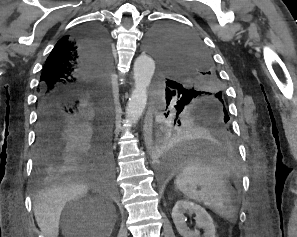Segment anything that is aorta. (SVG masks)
<instances>
[{"label":"aorta","instance_id":"obj_1","mask_svg":"<svg viewBox=\"0 0 297 237\" xmlns=\"http://www.w3.org/2000/svg\"><path fill=\"white\" fill-rule=\"evenodd\" d=\"M148 47L154 50L150 39ZM154 71L155 62L148 54H142L135 60L133 68L135 86L126 110V118L130 123H136L145 109L148 87Z\"/></svg>","mask_w":297,"mask_h":237}]
</instances>
